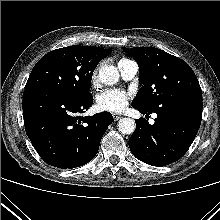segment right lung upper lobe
I'll return each mask as SVG.
<instances>
[{"mask_svg": "<svg viewBox=\"0 0 220 220\" xmlns=\"http://www.w3.org/2000/svg\"><path fill=\"white\" fill-rule=\"evenodd\" d=\"M77 46L81 51L93 56L94 58L100 61L112 52V50L110 49H104L94 46H80V45Z\"/></svg>", "mask_w": 220, "mask_h": 220, "instance_id": "obj_1", "label": "right lung upper lobe"}]
</instances>
